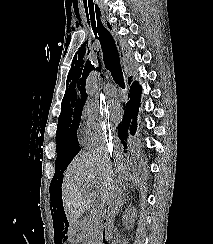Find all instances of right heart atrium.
Returning a JSON list of instances; mask_svg holds the SVG:
<instances>
[{
    "label": "right heart atrium",
    "instance_id": "1",
    "mask_svg": "<svg viewBox=\"0 0 213 244\" xmlns=\"http://www.w3.org/2000/svg\"><path fill=\"white\" fill-rule=\"evenodd\" d=\"M81 140L87 145L103 142L112 132L103 107L93 101H87L81 110Z\"/></svg>",
    "mask_w": 213,
    "mask_h": 244
}]
</instances>
